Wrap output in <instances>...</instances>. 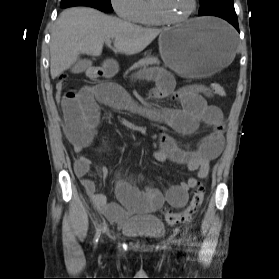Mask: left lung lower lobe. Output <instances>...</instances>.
I'll list each match as a JSON object with an SVG mask.
<instances>
[{"label": "left lung lower lobe", "instance_id": "1", "mask_svg": "<svg viewBox=\"0 0 279 279\" xmlns=\"http://www.w3.org/2000/svg\"><path fill=\"white\" fill-rule=\"evenodd\" d=\"M204 15L217 16L223 18L226 21H228L231 25H233L235 29L239 32L238 19L234 7H222V8L214 9L212 11H209L199 16H204Z\"/></svg>", "mask_w": 279, "mask_h": 279}]
</instances>
